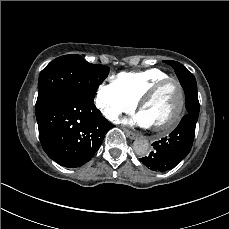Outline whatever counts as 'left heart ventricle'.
<instances>
[{"label": "left heart ventricle", "mask_w": 229, "mask_h": 229, "mask_svg": "<svg viewBox=\"0 0 229 229\" xmlns=\"http://www.w3.org/2000/svg\"><path fill=\"white\" fill-rule=\"evenodd\" d=\"M174 84L175 82H170L166 86L160 88L141 110L140 113L144 116L152 128L165 127L164 121L172 113V108L175 104L173 90Z\"/></svg>", "instance_id": "obj_1"}]
</instances>
